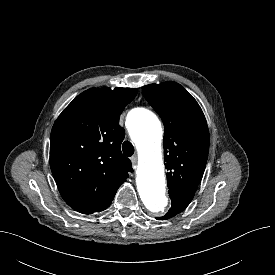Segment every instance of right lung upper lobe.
Masks as SVG:
<instances>
[{"mask_svg": "<svg viewBox=\"0 0 275 275\" xmlns=\"http://www.w3.org/2000/svg\"><path fill=\"white\" fill-rule=\"evenodd\" d=\"M136 88H91L59 115L50 136V167L64 201L92 214L105 210L132 172L120 146L119 117Z\"/></svg>", "mask_w": 275, "mask_h": 275, "instance_id": "cb5924a9", "label": "right lung upper lobe"}]
</instances>
